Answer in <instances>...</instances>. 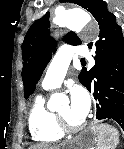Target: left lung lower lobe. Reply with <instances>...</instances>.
Masks as SVG:
<instances>
[{
  "label": "left lung lower lobe",
  "mask_w": 124,
  "mask_h": 149,
  "mask_svg": "<svg viewBox=\"0 0 124 149\" xmlns=\"http://www.w3.org/2000/svg\"><path fill=\"white\" fill-rule=\"evenodd\" d=\"M96 118L116 121L124 130V51L99 62L91 83Z\"/></svg>",
  "instance_id": "1"
}]
</instances>
